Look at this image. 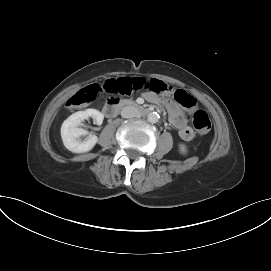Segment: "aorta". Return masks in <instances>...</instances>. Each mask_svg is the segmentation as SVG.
Wrapping results in <instances>:
<instances>
[{"label":"aorta","mask_w":271,"mask_h":271,"mask_svg":"<svg viewBox=\"0 0 271 271\" xmlns=\"http://www.w3.org/2000/svg\"><path fill=\"white\" fill-rule=\"evenodd\" d=\"M159 114L157 112H151L148 114L147 119L151 123H157L159 120Z\"/></svg>","instance_id":"aorta-1"}]
</instances>
